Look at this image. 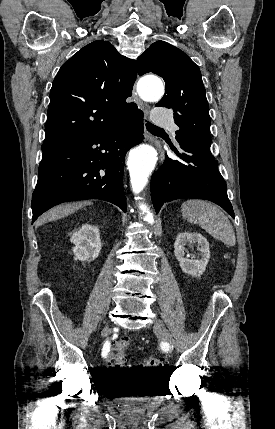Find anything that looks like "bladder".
Here are the masks:
<instances>
[{"label": "bladder", "mask_w": 275, "mask_h": 429, "mask_svg": "<svg viewBox=\"0 0 275 429\" xmlns=\"http://www.w3.org/2000/svg\"><path fill=\"white\" fill-rule=\"evenodd\" d=\"M107 386L105 398H116V403H147L157 391L153 377H107Z\"/></svg>", "instance_id": "bladder-1"}]
</instances>
